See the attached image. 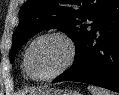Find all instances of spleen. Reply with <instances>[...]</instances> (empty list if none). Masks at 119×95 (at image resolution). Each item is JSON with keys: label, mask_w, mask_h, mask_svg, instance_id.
<instances>
[{"label": "spleen", "mask_w": 119, "mask_h": 95, "mask_svg": "<svg viewBox=\"0 0 119 95\" xmlns=\"http://www.w3.org/2000/svg\"><path fill=\"white\" fill-rule=\"evenodd\" d=\"M89 90L92 95H118L114 92L105 90V89L97 87V86H89Z\"/></svg>", "instance_id": "obj_1"}]
</instances>
